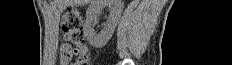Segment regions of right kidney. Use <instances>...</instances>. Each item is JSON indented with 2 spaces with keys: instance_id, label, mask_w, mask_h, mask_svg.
<instances>
[{
  "instance_id": "1",
  "label": "right kidney",
  "mask_w": 232,
  "mask_h": 65,
  "mask_svg": "<svg viewBox=\"0 0 232 65\" xmlns=\"http://www.w3.org/2000/svg\"><path fill=\"white\" fill-rule=\"evenodd\" d=\"M105 7H108L110 13L104 29L99 34H96L94 21ZM123 8L124 4L122 0H94L91 3L86 11L84 34L93 47L102 48L107 44L115 31Z\"/></svg>"
}]
</instances>
